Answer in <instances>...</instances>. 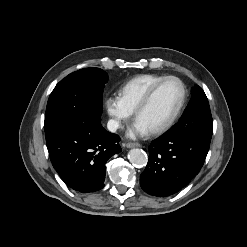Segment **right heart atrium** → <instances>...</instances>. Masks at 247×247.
<instances>
[{
  "instance_id": "d8ad5b80",
  "label": "right heart atrium",
  "mask_w": 247,
  "mask_h": 247,
  "mask_svg": "<svg viewBox=\"0 0 247 247\" xmlns=\"http://www.w3.org/2000/svg\"><path fill=\"white\" fill-rule=\"evenodd\" d=\"M104 104L110 118V127L113 130L121 128L131 117V112L124 106L118 96L107 97Z\"/></svg>"
}]
</instances>
